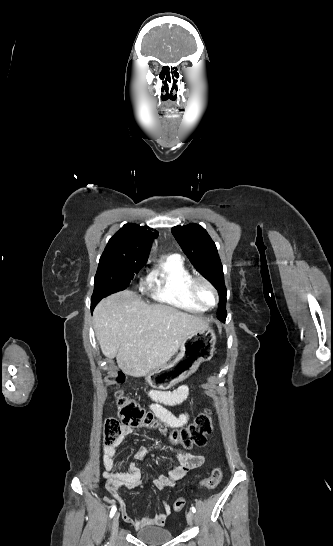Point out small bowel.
Returning <instances> with one entry per match:
<instances>
[{"mask_svg": "<svg viewBox=\"0 0 333 546\" xmlns=\"http://www.w3.org/2000/svg\"><path fill=\"white\" fill-rule=\"evenodd\" d=\"M189 393L190 389L188 385H182L171 392L149 390L148 397L151 400L149 405L150 409L154 415L168 427L182 428L189 421V413L182 412L175 415L168 410L167 407L178 406L184 403L188 399ZM133 432V428L122 426L118 440L111 445L104 446L102 450V464L104 467L102 476L106 480L108 491L120 501L122 517L126 522L131 523L136 529L147 526H162L171 513V507L166 501H163L164 513L156 514L153 517H134L118 494V489L120 488H143L148 485V482L143 480L142 472L137 464V461H142L153 453L152 450L144 446L137 448L135 452L136 462H134L127 471L117 470L115 458L117 456L118 448L127 437L133 434ZM174 458L177 465L153 479L150 482L151 486L157 490L171 488L182 480L190 470L197 468L204 463V456L201 454L178 453L174 455Z\"/></svg>", "mask_w": 333, "mask_h": 546, "instance_id": "obj_1", "label": "small bowel"}]
</instances>
